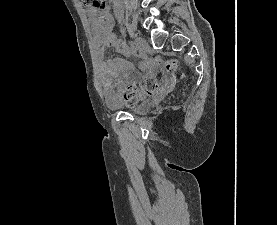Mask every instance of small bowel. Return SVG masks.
Instances as JSON below:
<instances>
[{
	"label": "small bowel",
	"mask_w": 277,
	"mask_h": 225,
	"mask_svg": "<svg viewBox=\"0 0 277 225\" xmlns=\"http://www.w3.org/2000/svg\"><path fill=\"white\" fill-rule=\"evenodd\" d=\"M89 17L93 31V43L99 57L100 81L104 90L107 92L114 84L122 85V83H126L130 79L132 81L135 80L137 74L132 76L133 65L128 60L118 57L104 60L107 45L113 46L124 57L131 55V51L126 44L115 37L113 33L115 22L107 8L102 13L90 10ZM172 82L173 78L171 76L166 74L162 76L164 87H168Z\"/></svg>",
	"instance_id": "small-bowel-1"
}]
</instances>
